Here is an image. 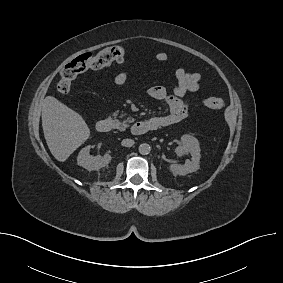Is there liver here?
<instances>
[{
  "mask_svg": "<svg viewBox=\"0 0 283 283\" xmlns=\"http://www.w3.org/2000/svg\"><path fill=\"white\" fill-rule=\"evenodd\" d=\"M42 127L50 152L60 162L66 161L90 136L82 116L53 96L43 101Z\"/></svg>",
  "mask_w": 283,
  "mask_h": 283,
  "instance_id": "1",
  "label": "liver"
}]
</instances>
